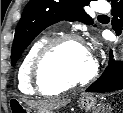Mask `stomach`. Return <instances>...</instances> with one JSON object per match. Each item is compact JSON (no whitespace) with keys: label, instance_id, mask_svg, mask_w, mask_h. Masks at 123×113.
Listing matches in <instances>:
<instances>
[{"label":"stomach","instance_id":"stomach-1","mask_svg":"<svg viewBox=\"0 0 123 113\" xmlns=\"http://www.w3.org/2000/svg\"><path fill=\"white\" fill-rule=\"evenodd\" d=\"M79 106L81 109H84L86 111L93 109L97 103L95 97L89 94H84L79 98ZM9 108L13 112L18 113H32V110L25 106L21 101L17 99H11L9 101ZM40 113V112H38ZM47 113H53V112H47Z\"/></svg>","mask_w":123,"mask_h":113}]
</instances>
